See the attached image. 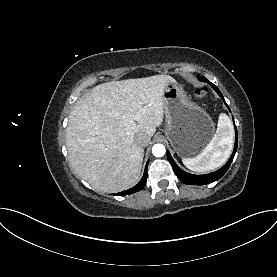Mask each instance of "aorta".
<instances>
[{"instance_id": "obj_1", "label": "aorta", "mask_w": 277, "mask_h": 277, "mask_svg": "<svg viewBox=\"0 0 277 277\" xmlns=\"http://www.w3.org/2000/svg\"><path fill=\"white\" fill-rule=\"evenodd\" d=\"M165 152H166V149L163 144H155L152 148V154L155 157H162L164 156Z\"/></svg>"}]
</instances>
